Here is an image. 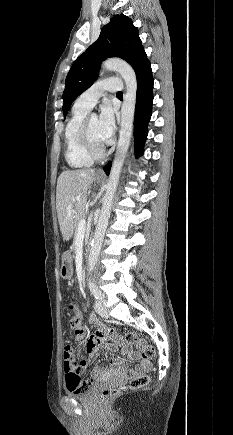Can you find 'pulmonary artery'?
<instances>
[{
    "label": "pulmonary artery",
    "mask_w": 233,
    "mask_h": 435,
    "mask_svg": "<svg viewBox=\"0 0 233 435\" xmlns=\"http://www.w3.org/2000/svg\"><path fill=\"white\" fill-rule=\"evenodd\" d=\"M122 90L121 78H105L96 82L92 87L83 92L75 101V106L89 112L96 104L101 94L105 91L118 93Z\"/></svg>",
    "instance_id": "e3ab8cb5"
}]
</instances>
